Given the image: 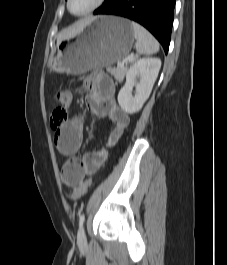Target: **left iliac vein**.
<instances>
[{"label":"left iliac vein","mask_w":227,"mask_h":265,"mask_svg":"<svg viewBox=\"0 0 227 265\" xmlns=\"http://www.w3.org/2000/svg\"><path fill=\"white\" fill-rule=\"evenodd\" d=\"M78 244L79 245L86 244V235L83 227H81L78 231Z\"/></svg>","instance_id":"left-iliac-vein-1"}]
</instances>
